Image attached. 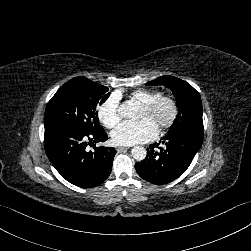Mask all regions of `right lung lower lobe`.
<instances>
[{"mask_svg":"<svg viewBox=\"0 0 251 251\" xmlns=\"http://www.w3.org/2000/svg\"><path fill=\"white\" fill-rule=\"evenodd\" d=\"M44 127L46 154L63 178L79 187L92 188L109 177L116 154L115 148L94 146L93 152L86 150L87 138L95 143L108 139L103 128L86 132L56 122L48 123Z\"/></svg>","mask_w":251,"mask_h":251,"instance_id":"98d812e1","label":"right lung lower lobe"}]
</instances>
